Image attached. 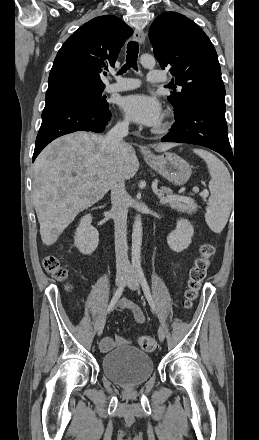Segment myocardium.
Listing matches in <instances>:
<instances>
[{"mask_svg": "<svg viewBox=\"0 0 259 440\" xmlns=\"http://www.w3.org/2000/svg\"><path fill=\"white\" fill-rule=\"evenodd\" d=\"M169 128H170V122L168 120H164L153 129V132L157 134H163L166 133L169 130Z\"/></svg>", "mask_w": 259, "mask_h": 440, "instance_id": "myocardium-1", "label": "myocardium"}]
</instances>
